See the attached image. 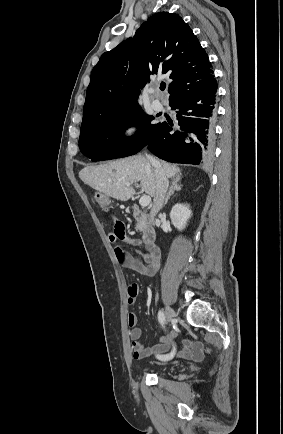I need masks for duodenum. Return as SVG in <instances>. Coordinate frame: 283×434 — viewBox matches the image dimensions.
<instances>
[{
    "mask_svg": "<svg viewBox=\"0 0 283 434\" xmlns=\"http://www.w3.org/2000/svg\"><path fill=\"white\" fill-rule=\"evenodd\" d=\"M132 214L142 226L143 242L146 247L154 252H160L155 245L156 231L151 224L149 214L142 211L137 205L132 206Z\"/></svg>",
    "mask_w": 283,
    "mask_h": 434,
    "instance_id": "410a0bca",
    "label": "duodenum"
}]
</instances>
